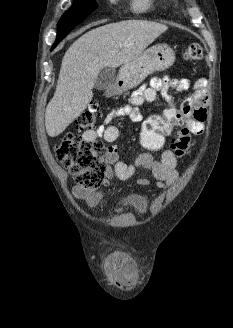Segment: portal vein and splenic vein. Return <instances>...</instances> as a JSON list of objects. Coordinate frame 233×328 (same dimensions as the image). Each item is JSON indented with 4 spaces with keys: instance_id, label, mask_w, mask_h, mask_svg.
I'll return each mask as SVG.
<instances>
[{
    "instance_id": "portal-vein-and-splenic-vein-1",
    "label": "portal vein and splenic vein",
    "mask_w": 233,
    "mask_h": 328,
    "mask_svg": "<svg viewBox=\"0 0 233 328\" xmlns=\"http://www.w3.org/2000/svg\"><path fill=\"white\" fill-rule=\"evenodd\" d=\"M124 45L123 44H120V47H123Z\"/></svg>"
}]
</instances>
